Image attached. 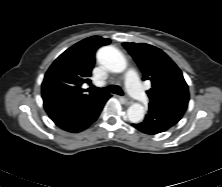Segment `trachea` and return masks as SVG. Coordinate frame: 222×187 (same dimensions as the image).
I'll return each mask as SVG.
<instances>
[{
	"label": "trachea",
	"mask_w": 222,
	"mask_h": 187,
	"mask_svg": "<svg viewBox=\"0 0 222 187\" xmlns=\"http://www.w3.org/2000/svg\"><path fill=\"white\" fill-rule=\"evenodd\" d=\"M91 88L99 93H115L118 95H124L120 87L108 86L104 88H97V87L92 86Z\"/></svg>",
	"instance_id": "trachea-1"
}]
</instances>
